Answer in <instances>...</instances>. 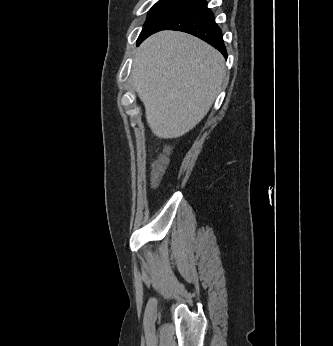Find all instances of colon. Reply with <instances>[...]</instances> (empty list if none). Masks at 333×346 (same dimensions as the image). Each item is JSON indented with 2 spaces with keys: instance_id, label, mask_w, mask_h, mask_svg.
Instances as JSON below:
<instances>
[{
  "instance_id": "obj_1",
  "label": "colon",
  "mask_w": 333,
  "mask_h": 346,
  "mask_svg": "<svg viewBox=\"0 0 333 346\" xmlns=\"http://www.w3.org/2000/svg\"><path fill=\"white\" fill-rule=\"evenodd\" d=\"M167 162H168V159H167V157L165 155L161 156L157 160V162H156V164L154 166L153 173H152V182H153V184H157L160 181Z\"/></svg>"
}]
</instances>
